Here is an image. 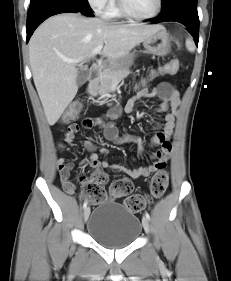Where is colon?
<instances>
[{
    "label": "colon",
    "instance_id": "colon-1",
    "mask_svg": "<svg viewBox=\"0 0 231 281\" xmlns=\"http://www.w3.org/2000/svg\"><path fill=\"white\" fill-rule=\"evenodd\" d=\"M179 61L172 59L168 63L151 70L147 75L142 77L132 86V90L137 93L148 87L149 83L161 75H172L179 70ZM81 110V105L77 102L72 103L64 114V120L68 121L75 118ZM169 176L165 170L157 171L150 182L149 192L145 195L132 194L128 196L124 205L130 211L140 212L151 200L160 198L168 187ZM106 176L101 171H96L92 178L83 186L84 196L88 198L90 203L98 204L104 201L108 196L111 199H117L128 195L133 190L132 182L127 178L116 180L109 188L108 193L104 189Z\"/></svg>",
    "mask_w": 231,
    "mask_h": 281
}]
</instances>
